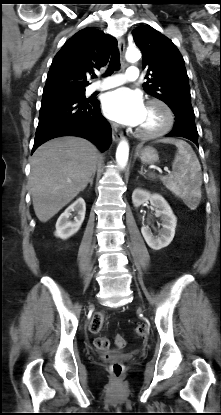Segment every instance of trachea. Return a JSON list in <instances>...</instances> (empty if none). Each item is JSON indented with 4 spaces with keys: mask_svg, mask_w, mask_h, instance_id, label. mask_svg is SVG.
<instances>
[{
    "mask_svg": "<svg viewBox=\"0 0 221 415\" xmlns=\"http://www.w3.org/2000/svg\"><path fill=\"white\" fill-rule=\"evenodd\" d=\"M120 68V55L119 51L115 50L110 59V63L108 65L107 72L105 73V76L111 75L114 71L118 70ZM94 78L96 76H93Z\"/></svg>",
    "mask_w": 221,
    "mask_h": 415,
    "instance_id": "obj_1",
    "label": "trachea"
}]
</instances>
